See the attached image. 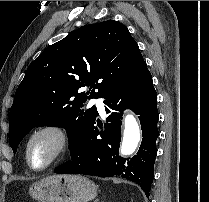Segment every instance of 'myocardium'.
<instances>
[{"label": "myocardium", "mask_w": 209, "mask_h": 202, "mask_svg": "<svg viewBox=\"0 0 209 202\" xmlns=\"http://www.w3.org/2000/svg\"><path fill=\"white\" fill-rule=\"evenodd\" d=\"M41 135H49L53 138L54 145L47 162L41 166H35L30 154L32 142ZM72 148V141L67 131L59 124L44 123L34 128L25 141V158L28 166L34 171H44L58 161L66 157Z\"/></svg>", "instance_id": "myocardium-1"}]
</instances>
